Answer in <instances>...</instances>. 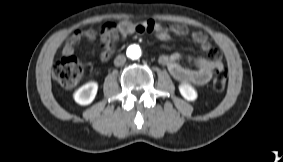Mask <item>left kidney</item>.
Segmentation results:
<instances>
[{
    "mask_svg": "<svg viewBox=\"0 0 283 162\" xmlns=\"http://www.w3.org/2000/svg\"><path fill=\"white\" fill-rule=\"evenodd\" d=\"M179 91L181 95L188 101H194L197 98V92L190 84L183 83L179 85Z\"/></svg>",
    "mask_w": 283,
    "mask_h": 162,
    "instance_id": "5707ae66",
    "label": "left kidney"
}]
</instances>
